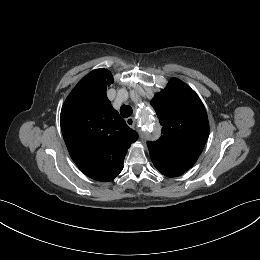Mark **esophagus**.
<instances>
[{
	"label": "esophagus",
	"instance_id": "esophagus-1",
	"mask_svg": "<svg viewBox=\"0 0 260 260\" xmlns=\"http://www.w3.org/2000/svg\"><path fill=\"white\" fill-rule=\"evenodd\" d=\"M126 123L131 128H135L136 127V120L133 117L127 118L126 119Z\"/></svg>",
	"mask_w": 260,
	"mask_h": 260
}]
</instances>
